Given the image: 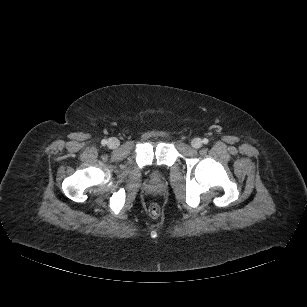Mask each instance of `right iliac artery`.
Wrapping results in <instances>:
<instances>
[{
  "label": "right iliac artery",
  "mask_w": 307,
  "mask_h": 307,
  "mask_svg": "<svg viewBox=\"0 0 307 307\" xmlns=\"http://www.w3.org/2000/svg\"><path fill=\"white\" fill-rule=\"evenodd\" d=\"M101 144H102L103 146H105V145L107 144V140H106V139H103V140L101 141Z\"/></svg>",
  "instance_id": "1"
}]
</instances>
